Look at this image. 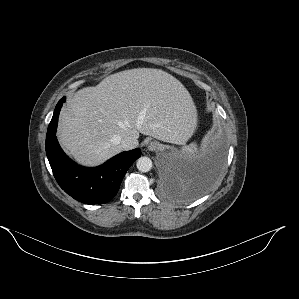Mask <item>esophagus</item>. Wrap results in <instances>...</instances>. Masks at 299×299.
Instances as JSON below:
<instances>
[{"label":"esophagus","instance_id":"obj_1","mask_svg":"<svg viewBox=\"0 0 299 299\" xmlns=\"http://www.w3.org/2000/svg\"><path fill=\"white\" fill-rule=\"evenodd\" d=\"M159 143L158 142H156V141H151L149 144H148V146H147V148H148V150H150V151H156V150H158L159 149Z\"/></svg>","mask_w":299,"mask_h":299}]
</instances>
